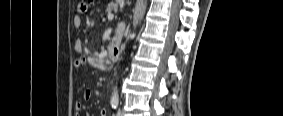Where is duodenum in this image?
<instances>
[{"instance_id":"obj_1","label":"duodenum","mask_w":283,"mask_h":116,"mask_svg":"<svg viewBox=\"0 0 283 116\" xmlns=\"http://www.w3.org/2000/svg\"><path fill=\"white\" fill-rule=\"evenodd\" d=\"M119 56H120V48L117 47V46H112L110 47V50H109V59L112 61V62H116L119 60Z\"/></svg>"}]
</instances>
